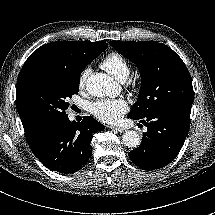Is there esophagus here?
<instances>
[{
  "label": "esophagus",
  "instance_id": "esophagus-1",
  "mask_svg": "<svg viewBox=\"0 0 215 215\" xmlns=\"http://www.w3.org/2000/svg\"><path fill=\"white\" fill-rule=\"evenodd\" d=\"M110 128L113 129V130H115V131H117V132H119V133H122V132L125 131V129L121 128V127L111 126Z\"/></svg>",
  "mask_w": 215,
  "mask_h": 215
}]
</instances>
